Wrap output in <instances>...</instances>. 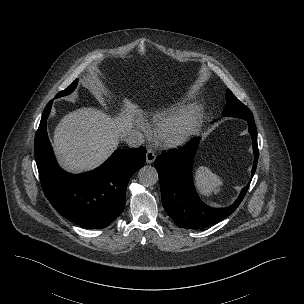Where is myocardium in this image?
<instances>
[{
    "instance_id": "1",
    "label": "myocardium",
    "mask_w": 304,
    "mask_h": 304,
    "mask_svg": "<svg viewBox=\"0 0 304 304\" xmlns=\"http://www.w3.org/2000/svg\"><path fill=\"white\" fill-rule=\"evenodd\" d=\"M201 120L202 111L197 106H190L170 114L157 125L156 140L167 148L178 147L194 135Z\"/></svg>"
}]
</instances>
